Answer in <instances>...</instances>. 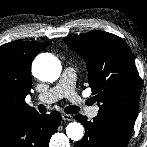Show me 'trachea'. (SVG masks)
<instances>
[{"label": "trachea", "instance_id": "3493384b", "mask_svg": "<svg viewBox=\"0 0 147 147\" xmlns=\"http://www.w3.org/2000/svg\"><path fill=\"white\" fill-rule=\"evenodd\" d=\"M38 109L41 113H45L46 112V107L43 104H40L38 106ZM80 108H78L77 106H67L64 111L67 114H76L77 112H79Z\"/></svg>", "mask_w": 147, "mask_h": 147}]
</instances>
